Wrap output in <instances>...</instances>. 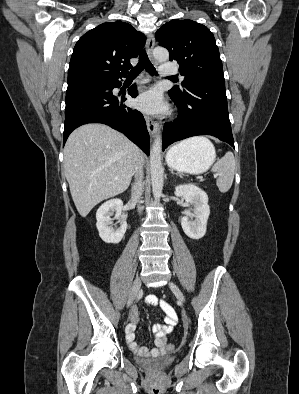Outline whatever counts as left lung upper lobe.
I'll use <instances>...</instances> for the list:
<instances>
[{"label":"left lung upper lobe","mask_w":299,"mask_h":394,"mask_svg":"<svg viewBox=\"0 0 299 394\" xmlns=\"http://www.w3.org/2000/svg\"><path fill=\"white\" fill-rule=\"evenodd\" d=\"M160 45L169 51L170 61L176 60L184 80L183 88L171 89L181 95L187 84L200 79L224 81L222 62L214 35L204 25L192 20L173 19L155 34Z\"/></svg>","instance_id":"5c2ea615"}]
</instances>
